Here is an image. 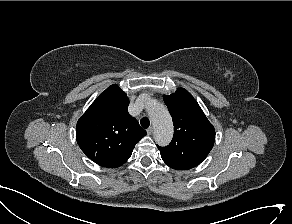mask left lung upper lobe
<instances>
[{
	"label": "left lung upper lobe",
	"instance_id": "5c2ea615",
	"mask_svg": "<svg viewBox=\"0 0 292 224\" xmlns=\"http://www.w3.org/2000/svg\"><path fill=\"white\" fill-rule=\"evenodd\" d=\"M163 97L173 119L174 135L168 146H157L161 157L173 169L196 167L214 145V127L185 89L179 88L176 93Z\"/></svg>",
	"mask_w": 292,
	"mask_h": 224
}]
</instances>
